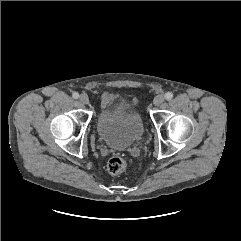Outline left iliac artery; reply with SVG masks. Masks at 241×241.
Here are the masks:
<instances>
[{
	"label": "left iliac artery",
	"instance_id": "1",
	"mask_svg": "<svg viewBox=\"0 0 241 241\" xmlns=\"http://www.w3.org/2000/svg\"><path fill=\"white\" fill-rule=\"evenodd\" d=\"M173 98V94L171 93V92H167L166 94H165V99L166 100H171Z\"/></svg>",
	"mask_w": 241,
	"mask_h": 241
}]
</instances>
